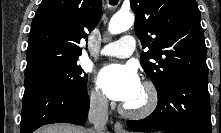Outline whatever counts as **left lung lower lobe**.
Instances as JSON below:
<instances>
[{"label": "left lung lower lobe", "instance_id": "left-lung-lower-lobe-1", "mask_svg": "<svg viewBox=\"0 0 221 133\" xmlns=\"http://www.w3.org/2000/svg\"><path fill=\"white\" fill-rule=\"evenodd\" d=\"M207 77L183 74L158 92L156 110L127 125L136 131L211 133V109Z\"/></svg>", "mask_w": 221, "mask_h": 133}]
</instances>
